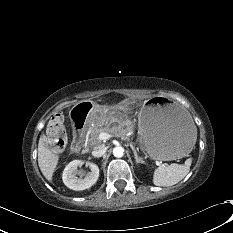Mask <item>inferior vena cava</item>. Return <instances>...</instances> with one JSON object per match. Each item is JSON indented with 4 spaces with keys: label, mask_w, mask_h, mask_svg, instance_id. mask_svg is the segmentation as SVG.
Segmentation results:
<instances>
[{
    "label": "inferior vena cava",
    "mask_w": 233,
    "mask_h": 233,
    "mask_svg": "<svg viewBox=\"0 0 233 233\" xmlns=\"http://www.w3.org/2000/svg\"><path fill=\"white\" fill-rule=\"evenodd\" d=\"M106 151H107V148L102 147V148H99V149L92 151V155L94 157H102L106 153Z\"/></svg>",
    "instance_id": "602c4592"
}]
</instances>
